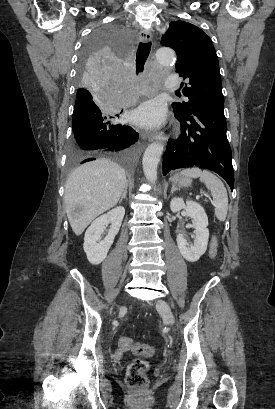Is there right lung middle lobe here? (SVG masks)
<instances>
[{
  "label": "right lung middle lobe",
  "mask_w": 275,
  "mask_h": 409,
  "mask_svg": "<svg viewBox=\"0 0 275 409\" xmlns=\"http://www.w3.org/2000/svg\"><path fill=\"white\" fill-rule=\"evenodd\" d=\"M129 31L119 30L118 24H99L84 43L75 78L77 91L72 116L73 136L68 149V164L62 167L63 177L69 178L73 167L91 161L117 160L119 167L137 173L136 162L142 144L138 133L124 125L128 96H112L111 91H128L122 82L123 58L117 51H132Z\"/></svg>",
  "instance_id": "1"
}]
</instances>
